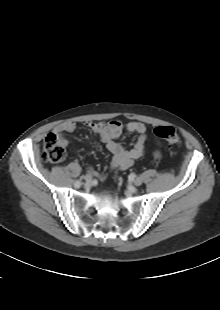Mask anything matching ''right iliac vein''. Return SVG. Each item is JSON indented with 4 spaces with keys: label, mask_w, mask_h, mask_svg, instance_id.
<instances>
[{
    "label": "right iliac vein",
    "mask_w": 220,
    "mask_h": 310,
    "mask_svg": "<svg viewBox=\"0 0 220 310\" xmlns=\"http://www.w3.org/2000/svg\"><path fill=\"white\" fill-rule=\"evenodd\" d=\"M84 179H85V182H86L87 185H90V184H91V182H92V177H91V175H86V176L84 177Z\"/></svg>",
    "instance_id": "63e3f726"
}]
</instances>
